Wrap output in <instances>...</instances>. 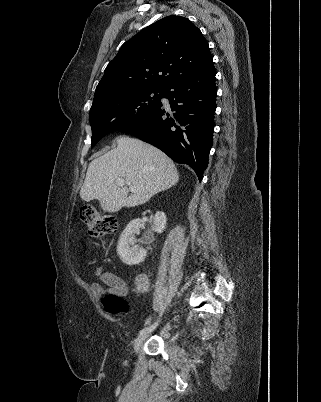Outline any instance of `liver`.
I'll return each mask as SVG.
<instances>
[{
  "label": "liver",
  "mask_w": 321,
  "mask_h": 402,
  "mask_svg": "<svg viewBox=\"0 0 321 402\" xmlns=\"http://www.w3.org/2000/svg\"><path fill=\"white\" fill-rule=\"evenodd\" d=\"M117 147L88 166L80 196L98 200L107 212L146 203L154 194L174 186L179 174L173 161L156 147L139 139L120 136ZM124 179V186L116 180ZM129 188L136 190L128 195Z\"/></svg>",
  "instance_id": "obj_1"
}]
</instances>
